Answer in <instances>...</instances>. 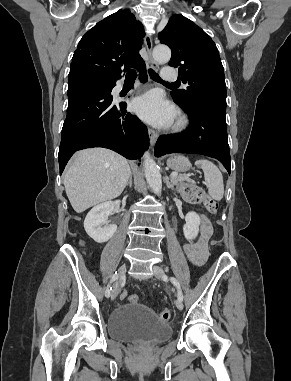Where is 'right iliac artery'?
Masks as SVG:
<instances>
[{
  "label": "right iliac artery",
  "instance_id": "obj_1",
  "mask_svg": "<svg viewBox=\"0 0 291 381\" xmlns=\"http://www.w3.org/2000/svg\"><path fill=\"white\" fill-rule=\"evenodd\" d=\"M118 278H119L118 273L115 272V274H113V276H112V278H111V280H110V283L117 281ZM111 290H112V287H109V286H108L107 289H106V292H105L106 297H109V296H110V291H111Z\"/></svg>",
  "mask_w": 291,
  "mask_h": 381
}]
</instances>
